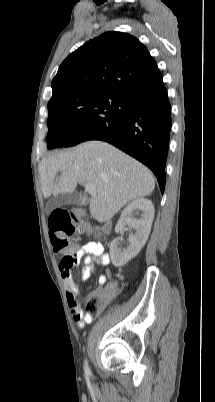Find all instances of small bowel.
<instances>
[{
    "label": "small bowel",
    "instance_id": "c3829d8e",
    "mask_svg": "<svg viewBox=\"0 0 215 402\" xmlns=\"http://www.w3.org/2000/svg\"><path fill=\"white\" fill-rule=\"evenodd\" d=\"M73 258L77 263L84 262L82 269L75 276L67 267L59 265V269L66 288L70 312L78 327L83 328L85 324L92 322L93 316L83 313L78 304L79 283L88 279L95 271L96 266L107 265L109 257L105 254L104 246L101 243L90 241L82 245L81 250H76V256ZM98 283L100 286L105 285L107 283V275H100ZM114 287V284L107 285L106 291L110 292Z\"/></svg>",
    "mask_w": 215,
    "mask_h": 402
}]
</instances>
